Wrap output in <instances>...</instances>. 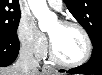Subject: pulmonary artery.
<instances>
[{
	"mask_svg": "<svg viewBox=\"0 0 102 75\" xmlns=\"http://www.w3.org/2000/svg\"><path fill=\"white\" fill-rule=\"evenodd\" d=\"M51 7L54 9L60 11L63 6V1L62 0H48L47 1Z\"/></svg>",
	"mask_w": 102,
	"mask_h": 75,
	"instance_id": "pulmonary-artery-1",
	"label": "pulmonary artery"
}]
</instances>
